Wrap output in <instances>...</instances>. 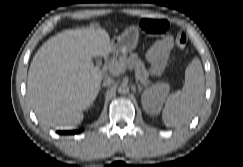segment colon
<instances>
[{
	"label": "colon",
	"instance_id": "1",
	"mask_svg": "<svg viewBox=\"0 0 243 167\" xmlns=\"http://www.w3.org/2000/svg\"><path fill=\"white\" fill-rule=\"evenodd\" d=\"M140 27L148 35H160L169 29V23L164 19L143 18ZM175 42L180 49H185L187 46L186 34L179 31L176 34Z\"/></svg>",
	"mask_w": 243,
	"mask_h": 167
}]
</instances>
